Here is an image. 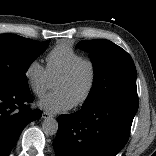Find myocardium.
I'll use <instances>...</instances> for the list:
<instances>
[{
    "label": "myocardium",
    "instance_id": "obj_1",
    "mask_svg": "<svg viewBox=\"0 0 156 156\" xmlns=\"http://www.w3.org/2000/svg\"><path fill=\"white\" fill-rule=\"evenodd\" d=\"M82 66H87L89 68L90 80H89V84H88L84 94L76 102L73 103L74 107L82 106L92 96L93 91H94V89L96 87V84H97V79H98V71H97L96 64L90 59L81 58L78 61H76L75 63H73L66 71L61 73L55 79V80H68V79H71L72 77L75 76V74L79 71V69Z\"/></svg>",
    "mask_w": 156,
    "mask_h": 156
}]
</instances>
